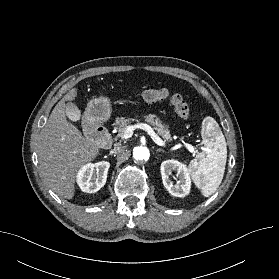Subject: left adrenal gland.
I'll return each mask as SVG.
<instances>
[{
	"label": "left adrenal gland",
	"mask_w": 279,
	"mask_h": 279,
	"mask_svg": "<svg viewBox=\"0 0 279 279\" xmlns=\"http://www.w3.org/2000/svg\"><path fill=\"white\" fill-rule=\"evenodd\" d=\"M162 151H163L162 149H157V150H156V152H162Z\"/></svg>",
	"instance_id": "left-adrenal-gland-1"
}]
</instances>
